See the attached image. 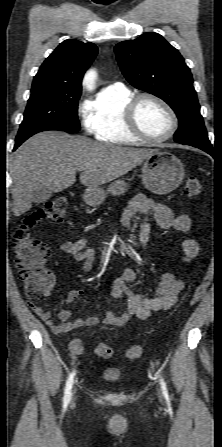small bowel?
Here are the masks:
<instances>
[{"label":"small bowel","instance_id":"c3829d8e","mask_svg":"<svg viewBox=\"0 0 222 447\" xmlns=\"http://www.w3.org/2000/svg\"><path fill=\"white\" fill-rule=\"evenodd\" d=\"M153 213L157 225L162 229H175L183 234L188 233L192 226V220L187 214L175 215L166 205L157 203L144 194L136 195L128 204L125 212L120 219V226L127 227L132 220L143 217L147 213ZM146 225L142 224V232L146 233ZM59 250L71 254L76 261H83L82 269L84 272H91L94 266L96 252L88 247V241L81 239L75 242H63L59 245ZM183 260L188 262L195 258L199 253V247L195 240L186 238L181 244ZM137 279L135 270L129 267L123 268L114 278L110 287V294L113 298L122 300L127 305V311L122 314L113 311H107L102 318L106 325L122 326L131 317L139 319L149 318L153 312L170 311L178 301V295L184 288L181 279L172 273L162 275L158 286L155 289L154 297H146L140 293L134 292L129 284ZM55 285V279L52 276L50 282L43 288L42 295L50 296ZM83 289H72L68 292L65 302L73 303L84 295ZM31 310L55 333L65 334L74 329L82 327H93L99 323L96 316H90L76 321H70L72 310L64 308L59 311L60 322L56 323L50 312L35 302L29 301ZM70 350L73 354H82L84 345L81 340L74 339L70 342Z\"/></svg>","mask_w":222,"mask_h":447}]
</instances>
